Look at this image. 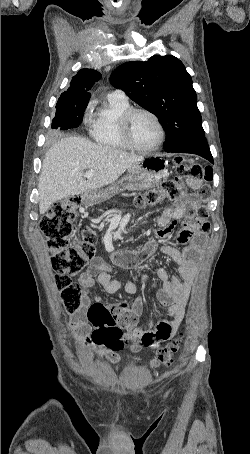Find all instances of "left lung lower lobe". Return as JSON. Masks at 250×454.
Returning a JSON list of instances; mask_svg holds the SVG:
<instances>
[{"label": "left lung lower lobe", "instance_id": "obj_1", "mask_svg": "<svg viewBox=\"0 0 250 454\" xmlns=\"http://www.w3.org/2000/svg\"><path fill=\"white\" fill-rule=\"evenodd\" d=\"M166 152L196 154V155H199V156L209 160L211 163H213V157L210 152L207 140L204 136L191 140L175 149H172V150H169Z\"/></svg>", "mask_w": 250, "mask_h": 454}]
</instances>
